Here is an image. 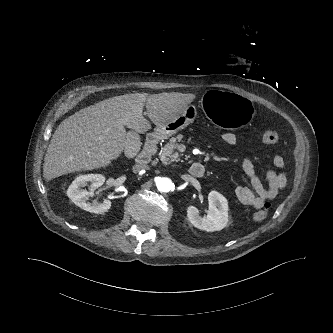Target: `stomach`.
<instances>
[{"label": "stomach", "instance_id": "obj_1", "mask_svg": "<svg viewBox=\"0 0 333 333\" xmlns=\"http://www.w3.org/2000/svg\"><path fill=\"white\" fill-rule=\"evenodd\" d=\"M202 110L207 119L226 129L245 126L253 115V108L248 99L240 95L232 96L223 89L209 91L203 98ZM195 116V108L188 105L178 116L157 126L155 134L162 139L169 138L186 128Z\"/></svg>", "mask_w": 333, "mask_h": 333}]
</instances>
